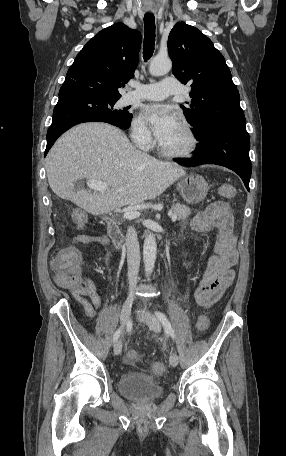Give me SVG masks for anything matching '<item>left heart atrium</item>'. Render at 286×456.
Listing matches in <instances>:
<instances>
[{
    "instance_id": "39dd6f15",
    "label": "left heart atrium",
    "mask_w": 286,
    "mask_h": 456,
    "mask_svg": "<svg viewBox=\"0 0 286 456\" xmlns=\"http://www.w3.org/2000/svg\"><path fill=\"white\" fill-rule=\"evenodd\" d=\"M144 117L160 143L180 126L175 111L162 104L147 105L144 108Z\"/></svg>"
}]
</instances>
